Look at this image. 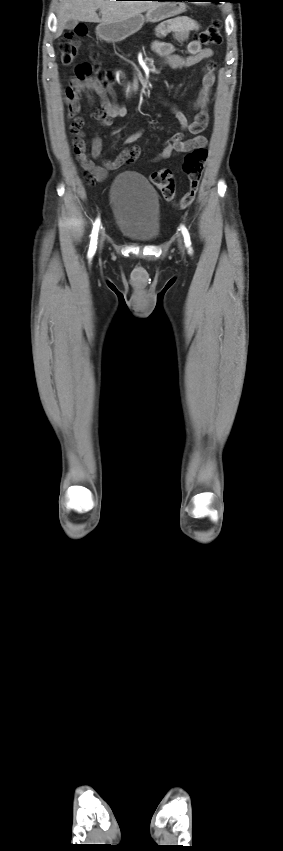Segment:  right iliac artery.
Wrapping results in <instances>:
<instances>
[{"label": "right iliac artery", "mask_w": 283, "mask_h": 851, "mask_svg": "<svg viewBox=\"0 0 283 851\" xmlns=\"http://www.w3.org/2000/svg\"><path fill=\"white\" fill-rule=\"evenodd\" d=\"M98 230H99V220H96L94 227H93V230H92V234H91V242H90V247H89V252H88L89 256H93L95 251H96Z\"/></svg>", "instance_id": "1"}]
</instances>
